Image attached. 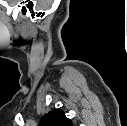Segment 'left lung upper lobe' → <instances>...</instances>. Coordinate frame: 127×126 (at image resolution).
I'll list each match as a JSON object with an SVG mask.
<instances>
[{"mask_svg": "<svg viewBox=\"0 0 127 126\" xmlns=\"http://www.w3.org/2000/svg\"><path fill=\"white\" fill-rule=\"evenodd\" d=\"M39 126H73L64 111L55 109L48 112L40 121Z\"/></svg>", "mask_w": 127, "mask_h": 126, "instance_id": "obj_1", "label": "left lung upper lobe"}]
</instances>
